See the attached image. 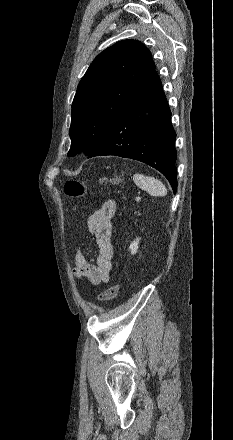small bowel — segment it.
Returning a JSON list of instances; mask_svg holds the SVG:
<instances>
[{
	"label": "small bowel",
	"mask_w": 233,
	"mask_h": 440,
	"mask_svg": "<svg viewBox=\"0 0 233 440\" xmlns=\"http://www.w3.org/2000/svg\"><path fill=\"white\" fill-rule=\"evenodd\" d=\"M116 207V201L109 199L88 217L87 226L93 235L97 254L95 259H90L80 249L76 251L74 275L77 279H88L94 285L109 280L114 259L111 220Z\"/></svg>",
	"instance_id": "obj_1"
}]
</instances>
